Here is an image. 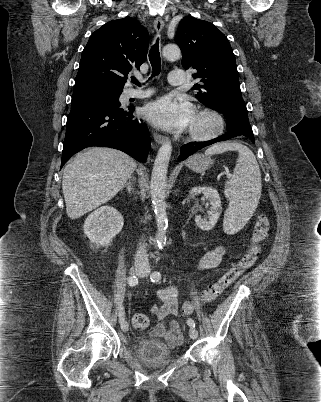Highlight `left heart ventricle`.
Returning a JSON list of instances; mask_svg holds the SVG:
<instances>
[{
	"instance_id": "obj_1",
	"label": "left heart ventricle",
	"mask_w": 321,
	"mask_h": 402,
	"mask_svg": "<svg viewBox=\"0 0 321 402\" xmlns=\"http://www.w3.org/2000/svg\"><path fill=\"white\" fill-rule=\"evenodd\" d=\"M212 126L213 121L211 118L203 115L194 114L191 123L189 125V128L204 132L210 130Z\"/></svg>"
}]
</instances>
